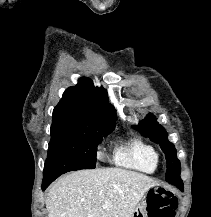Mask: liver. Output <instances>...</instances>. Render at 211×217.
I'll return each mask as SVG.
<instances>
[{
  "label": "liver",
  "instance_id": "1",
  "mask_svg": "<svg viewBox=\"0 0 211 217\" xmlns=\"http://www.w3.org/2000/svg\"><path fill=\"white\" fill-rule=\"evenodd\" d=\"M156 185L149 176L122 168L75 171L49 190L48 217H131Z\"/></svg>",
  "mask_w": 211,
  "mask_h": 217
}]
</instances>
